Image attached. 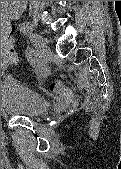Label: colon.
I'll return each instance as SVG.
<instances>
[{"label":"colon","mask_w":121,"mask_h":169,"mask_svg":"<svg viewBox=\"0 0 121 169\" xmlns=\"http://www.w3.org/2000/svg\"><path fill=\"white\" fill-rule=\"evenodd\" d=\"M1 57H2V66L4 68H10L16 65L17 63V54L14 50V45L10 43L9 40H5L1 44ZM50 91L55 93L62 101L72 102L74 95L72 90L67 87L60 80H52L50 82Z\"/></svg>","instance_id":"1"}]
</instances>
